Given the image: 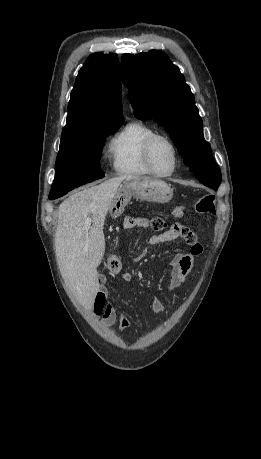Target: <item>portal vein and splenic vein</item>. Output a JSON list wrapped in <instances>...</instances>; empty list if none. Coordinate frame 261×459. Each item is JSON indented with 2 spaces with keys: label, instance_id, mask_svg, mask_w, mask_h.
Listing matches in <instances>:
<instances>
[{
  "label": "portal vein and splenic vein",
  "instance_id": "obj_1",
  "mask_svg": "<svg viewBox=\"0 0 261 459\" xmlns=\"http://www.w3.org/2000/svg\"><path fill=\"white\" fill-rule=\"evenodd\" d=\"M92 218L88 217L87 220L85 221V228L88 229L91 225Z\"/></svg>",
  "mask_w": 261,
  "mask_h": 459
}]
</instances>
